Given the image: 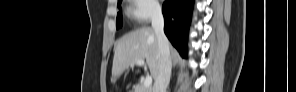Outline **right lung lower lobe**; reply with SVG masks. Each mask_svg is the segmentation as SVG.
<instances>
[{"instance_id": "obj_1", "label": "right lung lower lobe", "mask_w": 296, "mask_h": 92, "mask_svg": "<svg viewBox=\"0 0 296 92\" xmlns=\"http://www.w3.org/2000/svg\"><path fill=\"white\" fill-rule=\"evenodd\" d=\"M193 0H173L164 2V32L172 45L182 56L187 53V33L191 20Z\"/></svg>"}]
</instances>
